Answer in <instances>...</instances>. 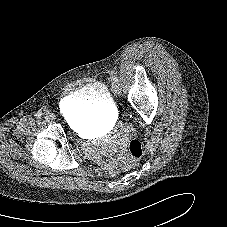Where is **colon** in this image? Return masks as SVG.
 Here are the masks:
<instances>
[{
	"label": "colon",
	"instance_id": "colon-1",
	"mask_svg": "<svg viewBox=\"0 0 227 227\" xmlns=\"http://www.w3.org/2000/svg\"><path fill=\"white\" fill-rule=\"evenodd\" d=\"M142 153L143 150L141 143L136 139L131 140L128 144V158L124 162L123 168L124 169L132 168L140 159Z\"/></svg>",
	"mask_w": 227,
	"mask_h": 227
}]
</instances>
